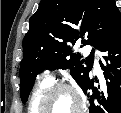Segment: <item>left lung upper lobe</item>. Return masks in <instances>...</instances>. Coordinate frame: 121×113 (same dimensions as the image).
I'll use <instances>...</instances> for the list:
<instances>
[{"mask_svg": "<svg viewBox=\"0 0 121 113\" xmlns=\"http://www.w3.org/2000/svg\"><path fill=\"white\" fill-rule=\"evenodd\" d=\"M120 18L114 0H42L23 39L22 102L26 103L37 74L44 69H70L72 77L84 89L93 66L94 50L86 60H80L79 54L72 53L70 44L82 38L83 45L99 49Z\"/></svg>", "mask_w": 121, "mask_h": 113, "instance_id": "obj_1", "label": "left lung upper lobe"}]
</instances>
